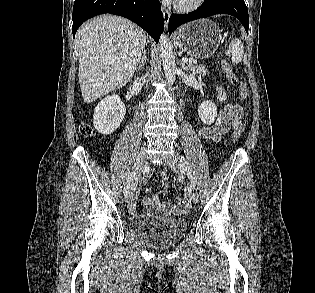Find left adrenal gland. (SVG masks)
Returning <instances> with one entry per match:
<instances>
[{
    "label": "left adrenal gland",
    "instance_id": "1",
    "mask_svg": "<svg viewBox=\"0 0 315 293\" xmlns=\"http://www.w3.org/2000/svg\"><path fill=\"white\" fill-rule=\"evenodd\" d=\"M179 65L181 66V68H182L184 71H188L187 66H186L183 62L179 61Z\"/></svg>",
    "mask_w": 315,
    "mask_h": 293
}]
</instances>
